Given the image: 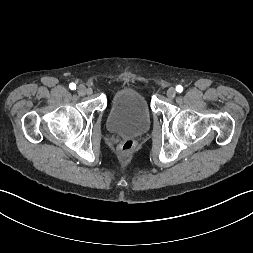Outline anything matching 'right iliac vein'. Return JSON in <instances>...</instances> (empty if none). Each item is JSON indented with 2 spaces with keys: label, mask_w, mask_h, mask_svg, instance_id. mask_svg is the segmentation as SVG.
Listing matches in <instances>:
<instances>
[{
  "label": "right iliac vein",
  "mask_w": 253,
  "mask_h": 253,
  "mask_svg": "<svg viewBox=\"0 0 253 253\" xmlns=\"http://www.w3.org/2000/svg\"><path fill=\"white\" fill-rule=\"evenodd\" d=\"M77 93L80 95V96H84L86 93H87V88L84 86V85H79L77 87Z\"/></svg>",
  "instance_id": "1"
}]
</instances>
